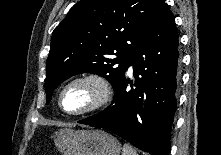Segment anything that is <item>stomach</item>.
Returning a JSON list of instances; mask_svg holds the SVG:
<instances>
[{
	"instance_id": "obj_1",
	"label": "stomach",
	"mask_w": 221,
	"mask_h": 155,
	"mask_svg": "<svg viewBox=\"0 0 221 155\" xmlns=\"http://www.w3.org/2000/svg\"><path fill=\"white\" fill-rule=\"evenodd\" d=\"M54 142L63 155H120L121 145L103 130L60 129Z\"/></svg>"
}]
</instances>
